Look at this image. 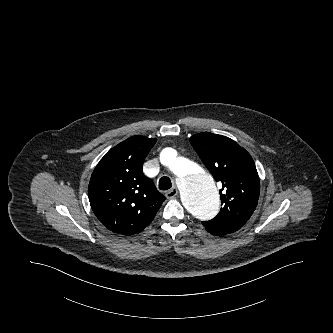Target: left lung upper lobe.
I'll return each mask as SVG.
<instances>
[{"label": "left lung upper lobe", "instance_id": "1", "mask_svg": "<svg viewBox=\"0 0 333 333\" xmlns=\"http://www.w3.org/2000/svg\"><path fill=\"white\" fill-rule=\"evenodd\" d=\"M190 142L202 162L222 183V208L208 224L229 231L239 230L253 214L260 183L250 154L232 139L209 132L199 133Z\"/></svg>", "mask_w": 333, "mask_h": 333}]
</instances>
